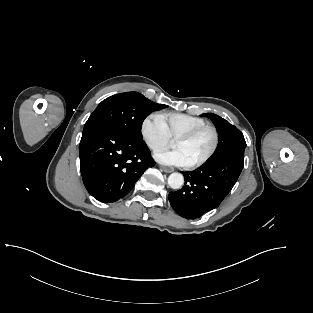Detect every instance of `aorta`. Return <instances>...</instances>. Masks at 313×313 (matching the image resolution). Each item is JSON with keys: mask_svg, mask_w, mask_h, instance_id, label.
<instances>
[{"mask_svg": "<svg viewBox=\"0 0 313 313\" xmlns=\"http://www.w3.org/2000/svg\"><path fill=\"white\" fill-rule=\"evenodd\" d=\"M184 184V177L181 173H172L168 177V185L172 189H180Z\"/></svg>", "mask_w": 313, "mask_h": 313, "instance_id": "aorta-1", "label": "aorta"}]
</instances>
